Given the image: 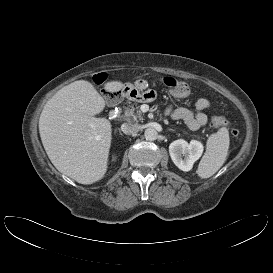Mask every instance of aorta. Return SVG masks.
<instances>
[{"mask_svg":"<svg viewBox=\"0 0 273 273\" xmlns=\"http://www.w3.org/2000/svg\"><path fill=\"white\" fill-rule=\"evenodd\" d=\"M146 140L153 141L157 138L158 133L154 128H147L144 132Z\"/></svg>","mask_w":273,"mask_h":273,"instance_id":"1","label":"aorta"}]
</instances>
